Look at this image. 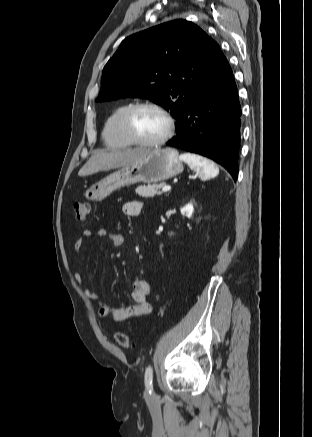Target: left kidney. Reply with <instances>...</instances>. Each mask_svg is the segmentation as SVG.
<instances>
[{"mask_svg": "<svg viewBox=\"0 0 312 437\" xmlns=\"http://www.w3.org/2000/svg\"><path fill=\"white\" fill-rule=\"evenodd\" d=\"M193 211H194V207L192 203H188L181 208V213L188 218L192 217Z\"/></svg>", "mask_w": 312, "mask_h": 437, "instance_id": "5707ae66", "label": "left kidney"}]
</instances>
